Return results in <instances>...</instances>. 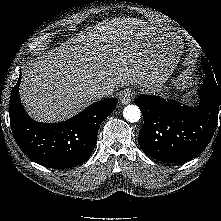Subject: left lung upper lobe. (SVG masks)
Listing matches in <instances>:
<instances>
[{"mask_svg":"<svg viewBox=\"0 0 221 221\" xmlns=\"http://www.w3.org/2000/svg\"><path fill=\"white\" fill-rule=\"evenodd\" d=\"M201 66H202V69L204 70V72L206 74H212V69H211V66H210V64H209L207 59H205V58L202 59Z\"/></svg>","mask_w":221,"mask_h":221,"instance_id":"obj_1","label":"left lung upper lobe"}]
</instances>
